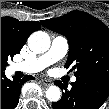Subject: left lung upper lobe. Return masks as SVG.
Returning a JSON list of instances; mask_svg holds the SVG:
<instances>
[{
  "instance_id": "obj_1",
  "label": "left lung upper lobe",
  "mask_w": 109,
  "mask_h": 109,
  "mask_svg": "<svg viewBox=\"0 0 109 109\" xmlns=\"http://www.w3.org/2000/svg\"><path fill=\"white\" fill-rule=\"evenodd\" d=\"M41 23L68 39L65 67L76 70V77L96 74L109 78V28L99 19L86 12L71 11Z\"/></svg>"
}]
</instances>
